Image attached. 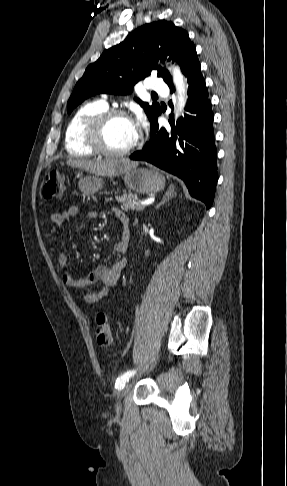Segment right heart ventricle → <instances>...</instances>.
Here are the masks:
<instances>
[{"instance_id": "e07e8e85", "label": "right heart ventricle", "mask_w": 287, "mask_h": 486, "mask_svg": "<svg viewBox=\"0 0 287 486\" xmlns=\"http://www.w3.org/2000/svg\"><path fill=\"white\" fill-rule=\"evenodd\" d=\"M108 108L103 100L89 101L80 106L69 120L64 144L67 153L75 157H90L95 152L86 144L85 128L89 120Z\"/></svg>"}]
</instances>
